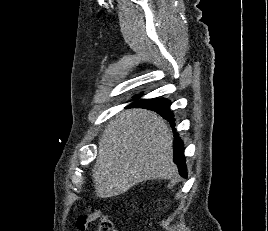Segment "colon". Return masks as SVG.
Here are the masks:
<instances>
[{
  "mask_svg": "<svg viewBox=\"0 0 268 231\" xmlns=\"http://www.w3.org/2000/svg\"><path fill=\"white\" fill-rule=\"evenodd\" d=\"M97 219L96 229L97 231H117L113 220L108 216L101 213H97L95 220Z\"/></svg>",
  "mask_w": 268,
  "mask_h": 231,
  "instance_id": "5ec220e1",
  "label": "colon"
}]
</instances>
